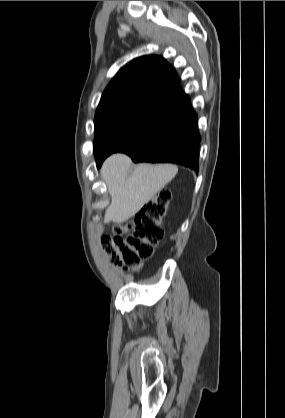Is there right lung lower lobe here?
Wrapping results in <instances>:
<instances>
[{"instance_id": "right-lung-lower-lobe-1", "label": "right lung lower lobe", "mask_w": 285, "mask_h": 418, "mask_svg": "<svg viewBox=\"0 0 285 418\" xmlns=\"http://www.w3.org/2000/svg\"><path fill=\"white\" fill-rule=\"evenodd\" d=\"M197 122V114L188 102L120 152L128 154L134 162H169L198 171L201 137ZM104 160L97 159V166Z\"/></svg>"}]
</instances>
